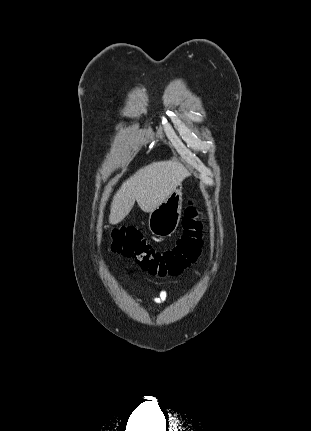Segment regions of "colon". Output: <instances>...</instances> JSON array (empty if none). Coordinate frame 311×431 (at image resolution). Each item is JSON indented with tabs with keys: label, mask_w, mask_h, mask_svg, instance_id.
I'll list each match as a JSON object with an SVG mask.
<instances>
[{
	"label": "colon",
	"mask_w": 311,
	"mask_h": 431,
	"mask_svg": "<svg viewBox=\"0 0 311 431\" xmlns=\"http://www.w3.org/2000/svg\"><path fill=\"white\" fill-rule=\"evenodd\" d=\"M111 250L133 259L142 270L161 277L177 276L193 264L202 247V222L194 202L188 201L182 219V234L175 246L156 250L140 231L118 228L111 233Z\"/></svg>",
	"instance_id": "obj_1"
}]
</instances>
